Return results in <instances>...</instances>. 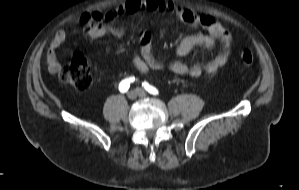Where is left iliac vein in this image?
<instances>
[{
    "label": "left iliac vein",
    "mask_w": 299,
    "mask_h": 190,
    "mask_svg": "<svg viewBox=\"0 0 299 190\" xmlns=\"http://www.w3.org/2000/svg\"><path fill=\"white\" fill-rule=\"evenodd\" d=\"M137 91H138V95L140 97H145L146 96V93L142 89H137Z\"/></svg>",
    "instance_id": "left-iliac-vein-1"
}]
</instances>
